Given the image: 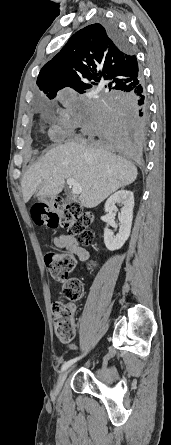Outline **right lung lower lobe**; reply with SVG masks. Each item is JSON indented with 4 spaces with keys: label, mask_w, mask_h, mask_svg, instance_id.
Listing matches in <instances>:
<instances>
[{
    "label": "right lung lower lobe",
    "mask_w": 171,
    "mask_h": 445,
    "mask_svg": "<svg viewBox=\"0 0 171 445\" xmlns=\"http://www.w3.org/2000/svg\"><path fill=\"white\" fill-rule=\"evenodd\" d=\"M104 26L119 47L128 46L116 24L106 22ZM83 117L85 133L100 146L129 160L141 161L148 119L143 81L129 92H110L91 102Z\"/></svg>",
    "instance_id": "1"
}]
</instances>
